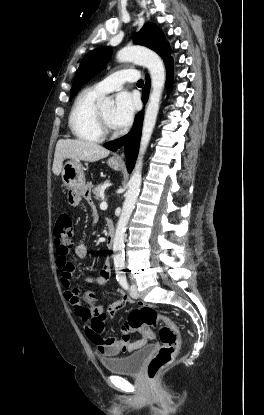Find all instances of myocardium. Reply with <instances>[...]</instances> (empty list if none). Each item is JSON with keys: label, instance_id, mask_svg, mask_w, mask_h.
<instances>
[{"label": "myocardium", "instance_id": "obj_1", "mask_svg": "<svg viewBox=\"0 0 264 415\" xmlns=\"http://www.w3.org/2000/svg\"><path fill=\"white\" fill-rule=\"evenodd\" d=\"M95 120H96L97 130L103 138L116 137L119 134L116 130H111L109 128L100 109L97 107L95 109Z\"/></svg>", "mask_w": 264, "mask_h": 415}]
</instances>
